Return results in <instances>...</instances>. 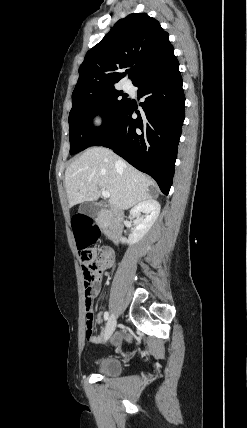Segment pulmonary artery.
I'll return each instance as SVG.
<instances>
[{"label":"pulmonary artery","mask_w":247,"mask_h":428,"mask_svg":"<svg viewBox=\"0 0 247 428\" xmlns=\"http://www.w3.org/2000/svg\"><path fill=\"white\" fill-rule=\"evenodd\" d=\"M125 88H126V89H128V88H129V85H127V84H126V85H125Z\"/></svg>","instance_id":"1"}]
</instances>
